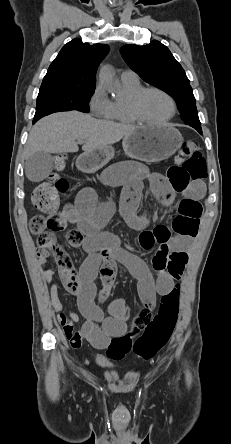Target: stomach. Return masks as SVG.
Returning <instances> with one entry per match:
<instances>
[{"mask_svg": "<svg viewBox=\"0 0 231 444\" xmlns=\"http://www.w3.org/2000/svg\"><path fill=\"white\" fill-rule=\"evenodd\" d=\"M183 138L169 124L139 126L123 138V149L127 156L143 162H158L169 158L180 148ZM114 156V149L107 146L82 154L77 160L78 168L87 173L102 168Z\"/></svg>", "mask_w": 231, "mask_h": 444, "instance_id": "0dacf381", "label": "stomach"}]
</instances>
